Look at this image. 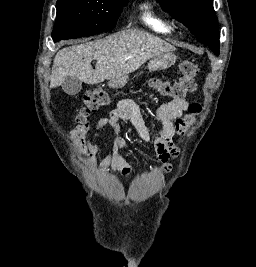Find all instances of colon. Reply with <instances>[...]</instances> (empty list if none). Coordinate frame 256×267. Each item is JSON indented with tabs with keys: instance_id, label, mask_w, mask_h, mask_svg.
<instances>
[{
	"instance_id": "5ec220e1",
	"label": "colon",
	"mask_w": 256,
	"mask_h": 267,
	"mask_svg": "<svg viewBox=\"0 0 256 267\" xmlns=\"http://www.w3.org/2000/svg\"><path fill=\"white\" fill-rule=\"evenodd\" d=\"M198 73L199 67L197 63L191 59H185L179 64V79L176 83L154 78L150 81V84L157 88L162 96L181 101L184 100L189 93L196 90L197 83L195 78ZM111 100L112 94L105 87L98 86L90 90L84 97L82 105L74 114L73 122L75 126H82L91 113L105 107ZM201 112L202 105L200 102L194 101L190 103L186 115L175 121L177 133L184 135Z\"/></svg>"
}]
</instances>
